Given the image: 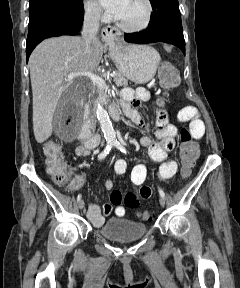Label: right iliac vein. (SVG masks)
Returning <instances> with one entry per match:
<instances>
[{
	"instance_id": "obj_1",
	"label": "right iliac vein",
	"mask_w": 240,
	"mask_h": 288,
	"mask_svg": "<svg viewBox=\"0 0 240 288\" xmlns=\"http://www.w3.org/2000/svg\"><path fill=\"white\" fill-rule=\"evenodd\" d=\"M84 207H85L84 201H83V200H80V201H79V209H80V210H83Z\"/></svg>"
}]
</instances>
